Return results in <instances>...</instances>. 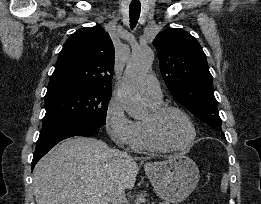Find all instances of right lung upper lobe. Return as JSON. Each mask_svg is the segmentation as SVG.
I'll list each match as a JSON object with an SVG mask.
<instances>
[{
    "label": "right lung upper lobe",
    "mask_w": 261,
    "mask_h": 204,
    "mask_svg": "<svg viewBox=\"0 0 261 204\" xmlns=\"http://www.w3.org/2000/svg\"><path fill=\"white\" fill-rule=\"evenodd\" d=\"M114 46L99 25L79 29L58 55L46 94L75 89L111 91Z\"/></svg>",
    "instance_id": "cb5924a9"
}]
</instances>
